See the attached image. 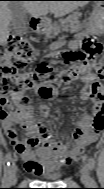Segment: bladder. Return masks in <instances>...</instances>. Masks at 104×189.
I'll list each match as a JSON object with an SVG mask.
<instances>
[{
	"instance_id": "1",
	"label": "bladder",
	"mask_w": 104,
	"mask_h": 189,
	"mask_svg": "<svg viewBox=\"0 0 104 189\" xmlns=\"http://www.w3.org/2000/svg\"><path fill=\"white\" fill-rule=\"evenodd\" d=\"M61 173L59 170L53 171V170H48L45 171L41 177L47 181H57L61 178Z\"/></svg>"
}]
</instances>
